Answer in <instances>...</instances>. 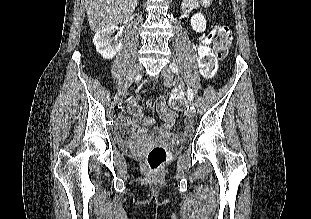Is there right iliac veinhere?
<instances>
[{
	"mask_svg": "<svg viewBox=\"0 0 311 219\" xmlns=\"http://www.w3.org/2000/svg\"><path fill=\"white\" fill-rule=\"evenodd\" d=\"M141 70H142L141 64L134 65V67L132 68L129 76L126 79V82H125L124 86L117 93V98H116V102L117 103L121 100V97L124 96V94L126 93L127 89L134 82V80L138 77V75L140 74Z\"/></svg>",
	"mask_w": 311,
	"mask_h": 219,
	"instance_id": "obj_1",
	"label": "right iliac vein"
}]
</instances>
